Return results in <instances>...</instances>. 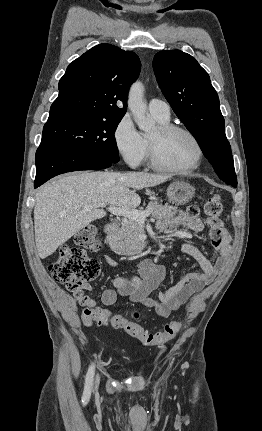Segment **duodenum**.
<instances>
[{"mask_svg":"<svg viewBox=\"0 0 262 431\" xmlns=\"http://www.w3.org/2000/svg\"><path fill=\"white\" fill-rule=\"evenodd\" d=\"M119 231V225L116 223H108L104 226V233L111 237H115Z\"/></svg>","mask_w":262,"mask_h":431,"instance_id":"obj_1","label":"duodenum"}]
</instances>
